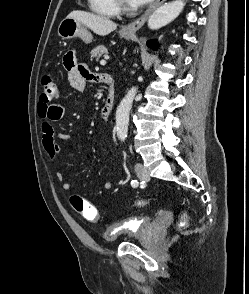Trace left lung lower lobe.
I'll return each instance as SVG.
<instances>
[{"instance_id": "obj_1", "label": "left lung lower lobe", "mask_w": 249, "mask_h": 294, "mask_svg": "<svg viewBox=\"0 0 249 294\" xmlns=\"http://www.w3.org/2000/svg\"><path fill=\"white\" fill-rule=\"evenodd\" d=\"M147 44L149 47H151L153 49H156V47H157V44L154 41H149Z\"/></svg>"}]
</instances>
